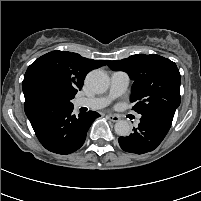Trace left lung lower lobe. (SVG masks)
<instances>
[{"label": "left lung lower lobe", "instance_id": "obj_1", "mask_svg": "<svg viewBox=\"0 0 201 201\" xmlns=\"http://www.w3.org/2000/svg\"><path fill=\"white\" fill-rule=\"evenodd\" d=\"M174 115L155 112L143 115L134 132L118 139L121 148L130 153L151 152L162 142L169 131Z\"/></svg>", "mask_w": 201, "mask_h": 201}]
</instances>
